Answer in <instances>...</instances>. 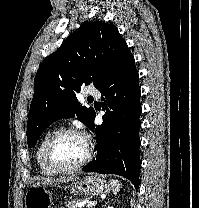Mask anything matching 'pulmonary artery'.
I'll return each instance as SVG.
<instances>
[{
    "mask_svg": "<svg viewBox=\"0 0 199 208\" xmlns=\"http://www.w3.org/2000/svg\"><path fill=\"white\" fill-rule=\"evenodd\" d=\"M85 93L87 95L91 96L92 98L93 97L100 98V94H99V92H98V90L96 88H90Z\"/></svg>",
    "mask_w": 199,
    "mask_h": 208,
    "instance_id": "obj_1",
    "label": "pulmonary artery"
}]
</instances>
